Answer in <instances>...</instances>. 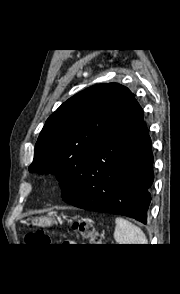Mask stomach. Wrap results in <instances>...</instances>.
<instances>
[{"label": "stomach", "mask_w": 180, "mask_h": 294, "mask_svg": "<svg viewBox=\"0 0 180 294\" xmlns=\"http://www.w3.org/2000/svg\"><path fill=\"white\" fill-rule=\"evenodd\" d=\"M29 225L32 226H50L54 223H57L55 219L53 218H48V217H32L27 220Z\"/></svg>", "instance_id": "stomach-1"}]
</instances>
